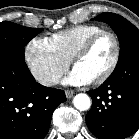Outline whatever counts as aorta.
<instances>
[{"label": "aorta", "mask_w": 139, "mask_h": 139, "mask_svg": "<svg viewBox=\"0 0 139 139\" xmlns=\"http://www.w3.org/2000/svg\"><path fill=\"white\" fill-rule=\"evenodd\" d=\"M73 104L76 109L86 111L91 107V99L87 94H77L73 99Z\"/></svg>", "instance_id": "aorta-1"}]
</instances>
